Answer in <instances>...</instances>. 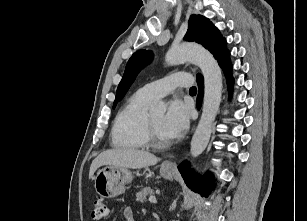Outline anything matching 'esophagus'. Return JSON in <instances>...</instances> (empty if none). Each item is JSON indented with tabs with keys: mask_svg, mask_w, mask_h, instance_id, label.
I'll use <instances>...</instances> for the list:
<instances>
[{
	"mask_svg": "<svg viewBox=\"0 0 307 221\" xmlns=\"http://www.w3.org/2000/svg\"><path fill=\"white\" fill-rule=\"evenodd\" d=\"M165 165H166L167 167H172V168L176 167V163L173 162V161H166V162H165Z\"/></svg>",
	"mask_w": 307,
	"mask_h": 221,
	"instance_id": "34e87169",
	"label": "esophagus"
}]
</instances>
